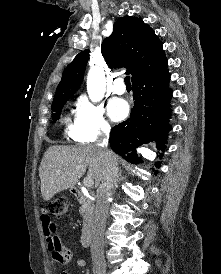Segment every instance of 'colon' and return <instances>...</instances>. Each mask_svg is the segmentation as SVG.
<instances>
[{"label": "colon", "instance_id": "colon-1", "mask_svg": "<svg viewBox=\"0 0 221 274\" xmlns=\"http://www.w3.org/2000/svg\"><path fill=\"white\" fill-rule=\"evenodd\" d=\"M67 199L63 197H59L51 201L49 204V212L55 216V217H61L63 214H65L67 210Z\"/></svg>", "mask_w": 221, "mask_h": 274}]
</instances>
